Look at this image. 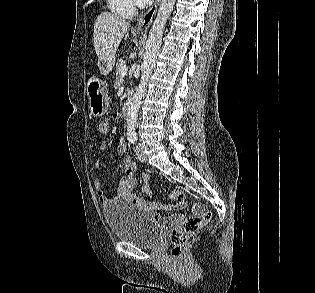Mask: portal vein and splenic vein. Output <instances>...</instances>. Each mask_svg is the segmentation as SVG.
<instances>
[{"label":"portal vein and splenic vein","mask_w":315,"mask_h":293,"mask_svg":"<svg viewBox=\"0 0 315 293\" xmlns=\"http://www.w3.org/2000/svg\"><path fill=\"white\" fill-rule=\"evenodd\" d=\"M127 70H128V67L126 65H124L121 69V75L122 76H125L127 74Z\"/></svg>","instance_id":"portal-vein-and-splenic-vein-1"}]
</instances>
